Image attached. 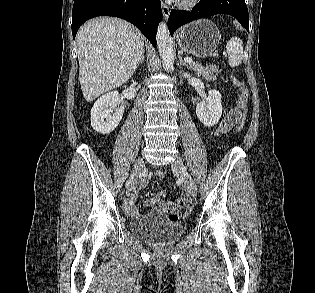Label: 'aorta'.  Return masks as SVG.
Returning a JSON list of instances; mask_svg holds the SVG:
<instances>
[{
    "mask_svg": "<svg viewBox=\"0 0 315 293\" xmlns=\"http://www.w3.org/2000/svg\"><path fill=\"white\" fill-rule=\"evenodd\" d=\"M157 46L167 71L174 69V52L172 40L165 22H161L157 29Z\"/></svg>",
    "mask_w": 315,
    "mask_h": 293,
    "instance_id": "762f6f07",
    "label": "aorta"
}]
</instances>
